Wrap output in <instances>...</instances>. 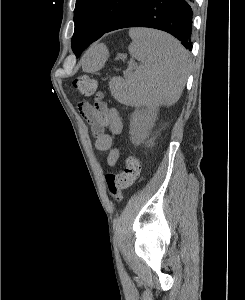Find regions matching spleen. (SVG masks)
<instances>
[{
    "instance_id": "1",
    "label": "spleen",
    "mask_w": 245,
    "mask_h": 300,
    "mask_svg": "<svg viewBox=\"0 0 245 300\" xmlns=\"http://www.w3.org/2000/svg\"><path fill=\"white\" fill-rule=\"evenodd\" d=\"M129 53L142 65L129 72L127 78L113 77L109 88L120 103L133 107L170 106L178 101L189 73L187 51L171 35L144 28L130 29ZM97 53L98 56H93ZM105 47L92 51L83 65L85 72H95L104 65Z\"/></svg>"
}]
</instances>
